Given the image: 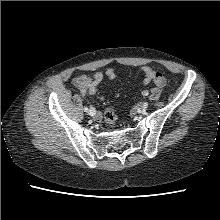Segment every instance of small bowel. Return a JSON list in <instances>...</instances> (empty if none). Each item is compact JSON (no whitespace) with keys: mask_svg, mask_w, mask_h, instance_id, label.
I'll return each mask as SVG.
<instances>
[{"mask_svg":"<svg viewBox=\"0 0 220 220\" xmlns=\"http://www.w3.org/2000/svg\"><path fill=\"white\" fill-rule=\"evenodd\" d=\"M143 73V84L148 85L152 82L155 83L156 77H161L163 74L157 69L150 66H143L141 69ZM116 77V71L114 68H108L105 72H96L92 76L79 75L72 81L73 85L80 91L81 94L85 95H98L100 99L103 96L99 94L98 86L104 78L114 79Z\"/></svg>","mask_w":220,"mask_h":220,"instance_id":"c3829d8e","label":"small bowel"}]
</instances>
